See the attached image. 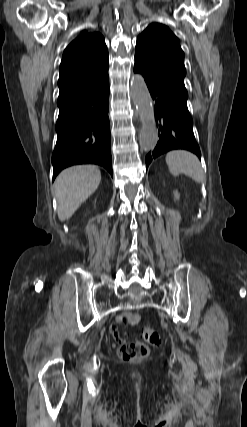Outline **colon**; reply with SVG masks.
<instances>
[{
    "instance_id": "1",
    "label": "colon",
    "mask_w": 247,
    "mask_h": 427,
    "mask_svg": "<svg viewBox=\"0 0 247 427\" xmlns=\"http://www.w3.org/2000/svg\"><path fill=\"white\" fill-rule=\"evenodd\" d=\"M143 338L152 345H158L161 342L160 333L150 327L143 330ZM149 354V348L142 342L125 343L119 349V356L123 361L139 360Z\"/></svg>"
}]
</instances>
